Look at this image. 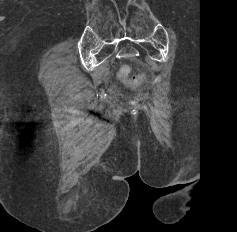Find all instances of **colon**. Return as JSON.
<instances>
[{
	"mask_svg": "<svg viewBox=\"0 0 237 232\" xmlns=\"http://www.w3.org/2000/svg\"><path fill=\"white\" fill-rule=\"evenodd\" d=\"M128 75H129V69L127 67H123L120 71V77L122 79H124L128 84H134L135 83V79H128Z\"/></svg>",
	"mask_w": 237,
	"mask_h": 232,
	"instance_id": "1",
	"label": "colon"
}]
</instances>
